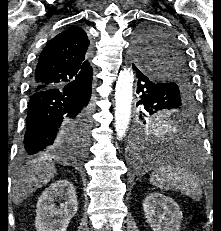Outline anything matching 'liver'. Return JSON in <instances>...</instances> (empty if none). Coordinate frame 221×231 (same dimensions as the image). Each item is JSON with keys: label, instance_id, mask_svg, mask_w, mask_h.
I'll use <instances>...</instances> for the list:
<instances>
[{"label": "liver", "instance_id": "liver-1", "mask_svg": "<svg viewBox=\"0 0 221 231\" xmlns=\"http://www.w3.org/2000/svg\"><path fill=\"white\" fill-rule=\"evenodd\" d=\"M46 159H38V163L21 171L14 179L12 196L15 205L20 204L36 189L41 188L54 177L56 173L55 166L47 163Z\"/></svg>", "mask_w": 221, "mask_h": 231}]
</instances>
